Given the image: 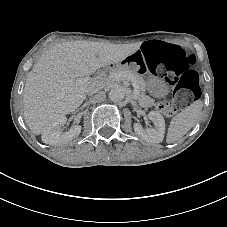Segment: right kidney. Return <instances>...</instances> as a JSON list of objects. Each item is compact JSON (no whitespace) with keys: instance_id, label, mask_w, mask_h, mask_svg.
<instances>
[{"instance_id":"right-kidney-1","label":"right kidney","mask_w":227,"mask_h":227,"mask_svg":"<svg viewBox=\"0 0 227 227\" xmlns=\"http://www.w3.org/2000/svg\"><path fill=\"white\" fill-rule=\"evenodd\" d=\"M66 122L67 118L65 116H61L46 126L42 131V142L55 146L66 144L78 137L82 129L80 125H73L68 132L62 133L61 126H63Z\"/></svg>"}]
</instances>
